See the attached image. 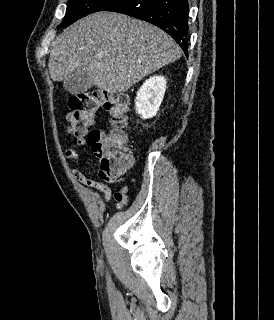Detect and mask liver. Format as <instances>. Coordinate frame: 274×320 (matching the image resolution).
I'll return each instance as SVG.
<instances>
[{
	"label": "liver",
	"mask_w": 274,
	"mask_h": 320,
	"mask_svg": "<svg viewBox=\"0 0 274 320\" xmlns=\"http://www.w3.org/2000/svg\"><path fill=\"white\" fill-rule=\"evenodd\" d=\"M182 50L153 24L116 12H96L66 28L51 44L48 70L76 94L77 80L109 94H124L163 66L176 62Z\"/></svg>",
	"instance_id": "obj_1"
}]
</instances>
